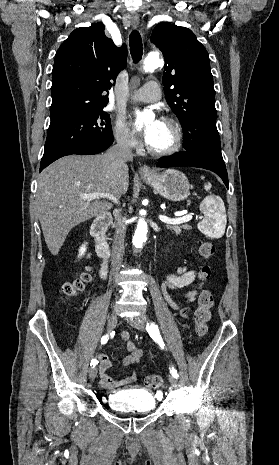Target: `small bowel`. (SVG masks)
<instances>
[{
    "label": "small bowel",
    "instance_id": "1",
    "mask_svg": "<svg viewBox=\"0 0 279 465\" xmlns=\"http://www.w3.org/2000/svg\"><path fill=\"white\" fill-rule=\"evenodd\" d=\"M197 277V272L195 270L189 269L187 266L179 267L175 272L169 273L166 276L164 286L173 290L187 288L188 291L184 295L186 302H192L196 299L197 291L195 290V281ZM168 303L171 307L175 309H180V317L186 326L187 321L189 320V313L191 309L189 307L181 308V305L173 301L170 297H167ZM121 344H123L127 350V355L123 359V365L125 367H131L135 364H138L143 356V350L138 348L133 341L129 339L128 333H123L120 339ZM97 359L99 361V378L100 384L107 389H114L122 387L124 385L134 382L137 378L135 371H132L128 376L115 380L112 379L107 371L112 367V361L110 357L105 353L97 354Z\"/></svg>",
    "mask_w": 279,
    "mask_h": 465
}]
</instances>
